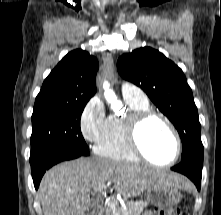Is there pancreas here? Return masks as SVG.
Returning <instances> with one entry per match:
<instances>
[{
  "label": "pancreas",
  "instance_id": "1",
  "mask_svg": "<svg viewBox=\"0 0 221 215\" xmlns=\"http://www.w3.org/2000/svg\"><path fill=\"white\" fill-rule=\"evenodd\" d=\"M147 205L148 203L144 201L126 202V208L116 204L114 208L108 206L105 215H140Z\"/></svg>",
  "mask_w": 221,
  "mask_h": 215
}]
</instances>
